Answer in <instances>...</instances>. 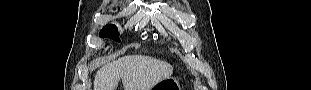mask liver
<instances>
[{"mask_svg": "<svg viewBox=\"0 0 311 90\" xmlns=\"http://www.w3.org/2000/svg\"><path fill=\"white\" fill-rule=\"evenodd\" d=\"M173 67L149 56L128 55L100 68L94 90H116L122 79L124 90H151L160 81L171 77Z\"/></svg>", "mask_w": 311, "mask_h": 90, "instance_id": "obj_1", "label": "liver"}]
</instances>
